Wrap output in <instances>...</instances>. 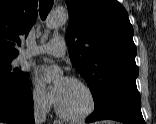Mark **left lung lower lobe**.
Masks as SVG:
<instances>
[{"instance_id": "obj_1", "label": "left lung lower lobe", "mask_w": 156, "mask_h": 124, "mask_svg": "<svg viewBox=\"0 0 156 124\" xmlns=\"http://www.w3.org/2000/svg\"><path fill=\"white\" fill-rule=\"evenodd\" d=\"M115 120L126 124H145L140 104L126 99H111L95 108L86 122Z\"/></svg>"}]
</instances>
